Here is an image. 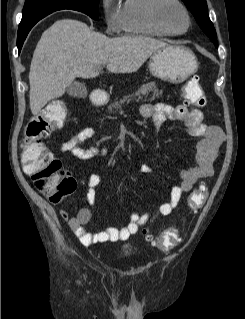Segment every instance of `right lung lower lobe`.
I'll use <instances>...</instances> for the list:
<instances>
[{
  "label": "right lung lower lobe",
  "mask_w": 245,
  "mask_h": 319,
  "mask_svg": "<svg viewBox=\"0 0 245 319\" xmlns=\"http://www.w3.org/2000/svg\"><path fill=\"white\" fill-rule=\"evenodd\" d=\"M37 23V22H36ZM33 23L25 28L19 29L18 30V38H17V47L19 52L21 51L22 45L24 43V40L26 39L29 31L31 30V28L36 24Z\"/></svg>",
  "instance_id": "obj_1"
}]
</instances>
